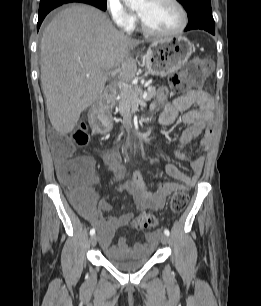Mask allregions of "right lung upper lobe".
Listing matches in <instances>:
<instances>
[{"mask_svg": "<svg viewBox=\"0 0 261 306\" xmlns=\"http://www.w3.org/2000/svg\"><path fill=\"white\" fill-rule=\"evenodd\" d=\"M49 1V0H48ZM71 1H73V2H85L86 0H71Z\"/></svg>", "mask_w": 261, "mask_h": 306, "instance_id": "obj_1", "label": "right lung upper lobe"}]
</instances>
